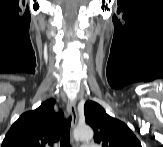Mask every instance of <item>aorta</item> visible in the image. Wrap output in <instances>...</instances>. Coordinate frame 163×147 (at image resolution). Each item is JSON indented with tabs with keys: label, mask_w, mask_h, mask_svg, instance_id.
<instances>
[{
	"label": "aorta",
	"mask_w": 163,
	"mask_h": 147,
	"mask_svg": "<svg viewBox=\"0 0 163 147\" xmlns=\"http://www.w3.org/2000/svg\"><path fill=\"white\" fill-rule=\"evenodd\" d=\"M74 136L80 141L91 140L93 138V130L89 125H78L74 130Z\"/></svg>",
	"instance_id": "762f6f07"
}]
</instances>
